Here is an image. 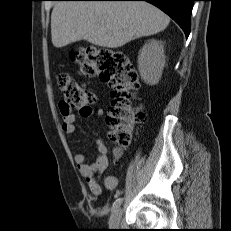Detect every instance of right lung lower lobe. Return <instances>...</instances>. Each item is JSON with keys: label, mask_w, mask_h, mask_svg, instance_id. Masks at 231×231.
Instances as JSON below:
<instances>
[{"label": "right lung lower lobe", "mask_w": 231, "mask_h": 231, "mask_svg": "<svg viewBox=\"0 0 231 231\" xmlns=\"http://www.w3.org/2000/svg\"><path fill=\"white\" fill-rule=\"evenodd\" d=\"M89 1H147L169 15L184 31L190 33V17L195 0H89Z\"/></svg>", "instance_id": "98d812e1"}]
</instances>
